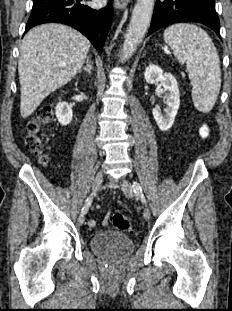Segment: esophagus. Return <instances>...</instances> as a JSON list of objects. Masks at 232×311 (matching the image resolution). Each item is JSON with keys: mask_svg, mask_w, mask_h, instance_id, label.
I'll list each match as a JSON object with an SVG mask.
<instances>
[{"mask_svg": "<svg viewBox=\"0 0 232 311\" xmlns=\"http://www.w3.org/2000/svg\"><path fill=\"white\" fill-rule=\"evenodd\" d=\"M130 0H115L114 5L118 9H123L127 6Z\"/></svg>", "mask_w": 232, "mask_h": 311, "instance_id": "esophagus-1", "label": "esophagus"}]
</instances>
